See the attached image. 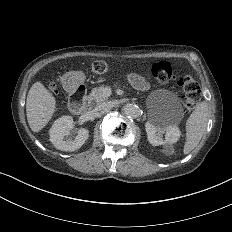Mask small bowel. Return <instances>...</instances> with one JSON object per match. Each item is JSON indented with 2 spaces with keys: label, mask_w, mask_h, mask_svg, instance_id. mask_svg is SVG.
I'll list each match as a JSON object with an SVG mask.
<instances>
[{
  "label": "small bowel",
  "mask_w": 232,
  "mask_h": 232,
  "mask_svg": "<svg viewBox=\"0 0 232 232\" xmlns=\"http://www.w3.org/2000/svg\"><path fill=\"white\" fill-rule=\"evenodd\" d=\"M127 78L135 89L139 91H145L149 88L148 81L140 74L136 72H129Z\"/></svg>",
  "instance_id": "small-bowel-1"
}]
</instances>
